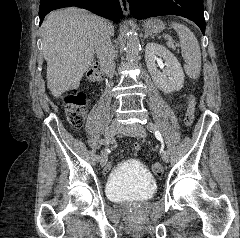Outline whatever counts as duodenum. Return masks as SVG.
<instances>
[{
	"instance_id": "obj_1",
	"label": "duodenum",
	"mask_w": 240,
	"mask_h": 238,
	"mask_svg": "<svg viewBox=\"0 0 240 238\" xmlns=\"http://www.w3.org/2000/svg\"><path fill=\"white\" fill-rule=\"evenodd\" d=\"M95 67H98V68H99V66H98L97 64L93 65V67H92V68H95Z\"/></svg>"
}]
</instances>
